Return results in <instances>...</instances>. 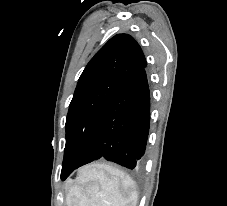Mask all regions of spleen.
Returning <instances> with one entry per match:
<instances>
[{"label": "spleen", "instance_id": "spleen-1", "mask_svg": "<svg viewBox=\"0 0 227 206\" xmlns=\"http://www.w3.org/2000/svg\"><path fill=\"white\" fill-rule=\"evenodd\" d=\"M137 201L134 181L108 165L85 170L66 197L67 206H136Z\"/></svg>", "mask_w": 227, "mask_h": 206}]
</instances>
